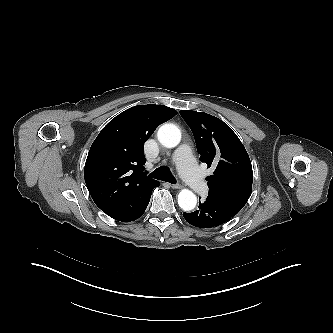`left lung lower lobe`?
<instances>
[{
  "instance_id": "obj_1",
  "label": "left lung lower lobe",
  "mask_w": 333,
  "mask_h": 333,
  "mask_svg": "<svg viewBox=\"0 0 333 333\" xmlns=\"http://www.w3.org/2000/svg\"><path fill=\"white\" fill-rule=\"evenodd\" d=\"M236 214L217 200L207 197L204 202L199 203V210L192 213H183V216L193 226L212 228L225 223Z\"/></svg>"
}]
</instances>
